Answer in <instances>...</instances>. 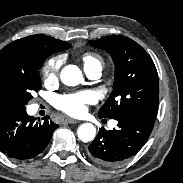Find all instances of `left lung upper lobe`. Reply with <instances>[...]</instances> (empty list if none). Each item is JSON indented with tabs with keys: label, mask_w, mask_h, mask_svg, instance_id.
<instances>
[{
	"label": "left lung upper lobe",
	"mask_w": 183,
	"mask_h": 183,
	"mask_svg": "<svg viewBox=\"0 0 183 183\" xmlns=\"http://www.w3.org/2000/svg\"><path fill=\"white\" fill-rule=\"evenodd\" d=\"M90 44L110 53L115 65L113 90L99 110V117L137 114L155 120L158 74L147 52L124 36H107Z\"/></svg>",
	"instance_id": "1"
}]
</instances>
